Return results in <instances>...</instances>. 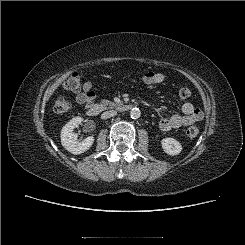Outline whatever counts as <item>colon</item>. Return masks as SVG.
Here are the masks:
<instances>
[{
  "label": "colon",
  "instance_id": "5ec220e1",
  "mask_svg": "<svg viewBox=\"0 0 245 245\" xmlns=\"http://www.w3.org/2000/svg\"><path fill=\"white\" fill-rule=\"evenodd\" d=\"M82 88L81 77L78 74L71 75L64 83V89L73 93H79ZM191 95V91L187 87H182L179 90V96L186 99ZM71 109V102L65 97H59L54 103V111L58 114H63ZM199 133L196 127H190L186 130V135L189 138H195Z\"/></svg>",
  "mask_w": 245,
  "mask_h": 245
}]
</instances>
